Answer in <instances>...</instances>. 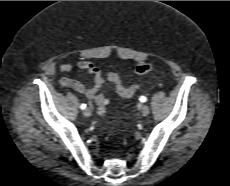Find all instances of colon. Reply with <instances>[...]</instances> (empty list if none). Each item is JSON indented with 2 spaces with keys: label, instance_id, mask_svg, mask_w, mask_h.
Wrapping results in <instances>:
<instances>
[{
  "label": "colon",
  "instance_id": "colon-1",
  "mask_svg": "<svg viewBox=\"0 0 230 186\" xmlns=\"http://www.w3.org/2000/svg\"><path fill=\"white\" fill-rule=\"evenodd\" d=\"M153 68H154L153 65L150 63H141L135 67V72L137 75L143 76L151 72ZM107 78L112 83H117L119 80V77L115 73H109ZM137 88L138 85H132L127 89L123 90V93L127 95L134 94ZM106 104L107 102L105 98H99L96 102L98 113L101 116H104L106 113Z\"/></svg>",
  "mask_w": 230,
  "mask_h": 186
}]
</instances>
